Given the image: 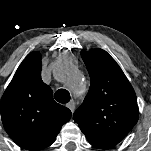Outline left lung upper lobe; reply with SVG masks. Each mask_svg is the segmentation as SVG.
Listing matches in <instances>:
<instances>
[{"label": "left lung upper lobe", "mask_w": 151, "mask_h": 151, "mask_svg": "<svg viewBox=\"0 0 151 151\" xmlns=\"http://www.w3.org/2000/svg\"><path fill=\"white\" fill-rule=\"evenodd\" d=\"M91 78L89 92L73 119L88 141H121L138 121L133 87L115 60L102 49L81 51Z\"/></svg>", "instance_id": "5c2ea615"}]
</instances>
